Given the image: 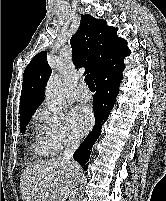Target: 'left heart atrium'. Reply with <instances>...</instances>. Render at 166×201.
Listing matches in <instances>:
<instances>
[{
    "instance_id": "obj_1",
    "label": "left heart atrium",
    "mask_w": 166,
    "mask_h": 201,
    "mask_svg": "<svg viewBox=\"0 0 166 201\" xmlns=\"http://www.w3.org/2000/svg\"><path fill=\"white\" fill-rule=\"evenodd\" d=\"M74 132L77 136H83L92 127L94 118L91 110L85 106L75 107L70 115Z\"/></svg>"
}]
</instances>
